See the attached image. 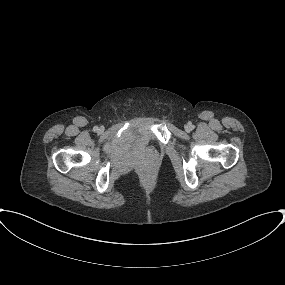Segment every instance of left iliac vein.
Returning <instances> with one entry per match:
<instances>
[{
    "label": "left iliac vein",
    "mask_w": 285,
    "mask_h": 285,
    "mask_svg": "<svg viewBox=\"0 0 285 285\" xmlns=\"http://www.w3.org/2000/svg\"><path fill=\"white\" fill-rule=\"evenodd\" d=\"M185 130H186V131H189V130H190V126H189V125H186V126H185Z\"/></svg>",
    "instance_id": "obj_1"
}]
</instances>
